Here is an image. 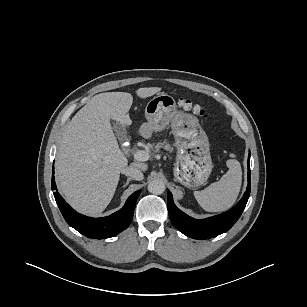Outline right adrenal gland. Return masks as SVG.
<instances>
[{
	"label": "right adrenal gland",
	"instance_id": "2a0ac1e0",
	"mask_svg": "<svg viewBox=\"0 0 307 307\" xmlns=\"http://www.w3.org/2000/svg\"><path fill=\"white\" fill-rule=\"evenodd\" d=\"M131 180H132V178L128 177L126 183L122 187H126Z\"/></svg>",
	"mask_w": 307,
	"mask_h": 307
}]
</instances>
